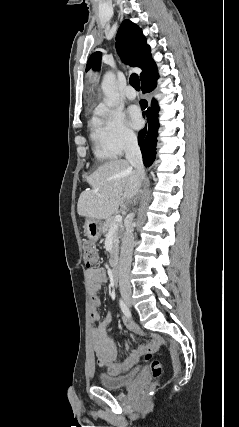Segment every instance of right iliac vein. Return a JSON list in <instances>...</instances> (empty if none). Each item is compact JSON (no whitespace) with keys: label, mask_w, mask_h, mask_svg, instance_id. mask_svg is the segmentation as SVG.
Instances as JSON below:
<instances>
[{"label":"right iliac vein","mask_w":239,"mask_h":427,"mask_svg":"<svg viewBox=\"0 0 239 427\" xmlns=\"http://www.w3.org/2000/svg\"><path fill=\"white\" fill-rule=\"evenodd\" d=\"M121 294H122V297H123L124 301L126 302V304L128 306H131V304H132L131 292L128 290H124V291H122Z\"/></svg>","instance_id":"63e3f726"}]
</instances>
